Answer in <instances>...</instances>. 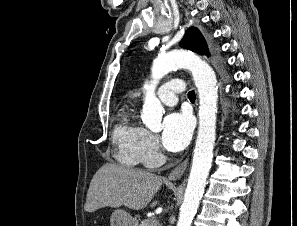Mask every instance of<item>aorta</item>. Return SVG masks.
<instances>
[{"mask_svg":"<svg viewBox=\"0 0 297 226\" xmlns=\"http://www.w3.org/2000/svg\"><path fill=\"white\" fill-rule=\"evenodd\" d=\"M174 68L192 72L199 93V128L192 167L180 209L177 226H190L203 196L206 179L211 169L216 139L218 87L213 69L197 55L186 51H172L154 60L152 82L145 86L141 118L151 131H161L163 107L155 95L158 81Z\"/></svg>","mask_w":297,"mask_h":226,"instance_id":"obj_1","label":"aorta"}]
</instances>
